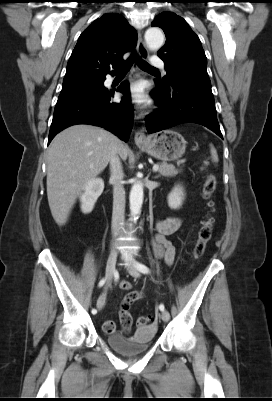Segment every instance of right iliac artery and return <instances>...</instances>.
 Segmentation results:
<instances>
[{"instance_id": "1", "label": "right iliac artery", "mask_w": 272, "mask_h": 401, "mask_svg": "<svg viewBox=\"0 0 272 401\" xmlns=\"http://www.w3.org/2000/svg\"><path fill=\"white\" fill-rule=\"evenodd\" d=\"M104 284H105V279L103 278L99 282V287H102ZM101 300H102V298L100 297L99 301H101ZM96 313H97V310L96 309H92V314H96Z\"/></svg>"}]
</instances>
